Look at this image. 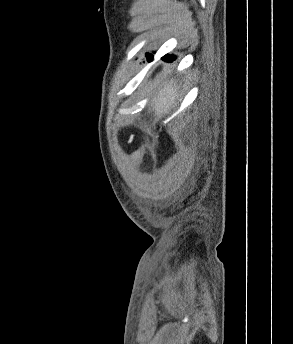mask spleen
<instances>
[{"instance_id":"3e777b00","label":"spleen","mask_w":293,"mask_h":344,"mask_svg":"<svg viewBox=\"0 0 293 344\" xmlns=\"http://www.w3.org/2000/svg\"><path fill=\"white\" fill-rule=\"evenodd\" d=\"M176 95V86L172 84H166L164 88L159 90L157 97L154 99L155 105L153 107V111L155 115L160 117L161 113L165 111V109L171 105Z\"/></svg>"}]
</instances>
